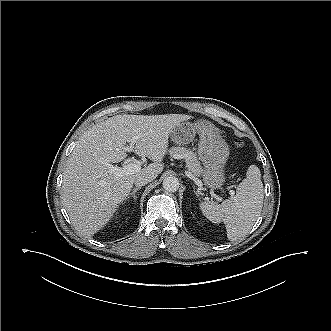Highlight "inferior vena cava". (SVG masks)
<instances>
[{"label":"inferior vena cava","instance_id":"602c4592","mask_svg":"<svg viewBox=\"0 0 331 331\" xmlns=\"http://www.w3.org/2000/svg\"><path fill=\"white\" fill-rule=\"evenodd\" d=\"M153 181V177L148 176V175H142V176H138L135 180H134V184L137 187H141L146 185L147 183Z\"/></svg>","mask_w":331,"mask_h":331}]
</instances>
